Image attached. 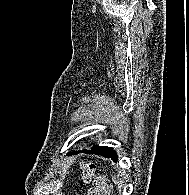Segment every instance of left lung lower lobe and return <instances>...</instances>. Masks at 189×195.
<instances>
[{
  "instance_id": "left-lung-lower-lobe-1",
  "label": "left lung lower lobe",
  "mask_w": 189,
  "mask_h": 195,
  "mask_svg": "<svg viewBox=\"0 0 189 195\" xmlns=\"http://www.w3.org/2000/svg\"><path fill=\"white\" fill-rule=\"evenodd\" d=\"M80 152L101 155V156L106 157V158H111L115 162L117 161V158H118L116 152L113 151L112 148L104 147V146H93L91 148V150L84 149L83 151H78V152L73 151L72 153L69 152L67 155L77 154V153H80Z\"/></svg>"
}]
</instances>
